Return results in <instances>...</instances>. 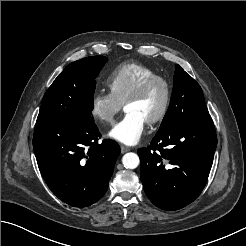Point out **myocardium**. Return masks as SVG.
Wrapping results in <instances>:
<instances>
[{
	"mask_svg": "<svg viewBox=\"0 0 246 246\" xmlns=\"http://www.w3.org/2000/svg\"><path fill=\"white\" fill-rule=\"evenodd\" d=\"M157 82L163 85L165 90V97L160 111L154 117L146 121L149 125H154L161 122L169 111L172 100V87L170 82L165 77L154 75L145 79L135 88V90L127 97L124 102L125 107L128 103L140 99L149 90V88Z\"/></svg>",
	"mask_w": 246,
	"mask_h": 246,
	"instance_id": "obj_1",
	"label": "myocardium"
}]
</instances>
